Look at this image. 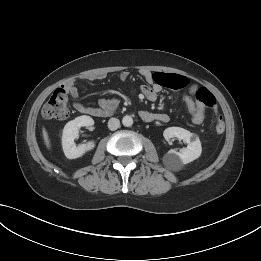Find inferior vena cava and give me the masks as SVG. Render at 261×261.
<instances>
[{
	"instance_id": "obj_1",
	"label": "inferior vena cava",
	"mask_w": 261,
	"mask_h": 261,
	"mask_svg": "<svg viewBox=\"0 0 261 261\" xmlns=\"http://www.w3.org/2000/svg\"><path fill=\"white\" fill-rule=\"evenodd\" d=\"M120 126V121L119 119H116V118H111L109 119L108 121V128L112 131L118 129Z\"/></svg>"
}]
</instances>
